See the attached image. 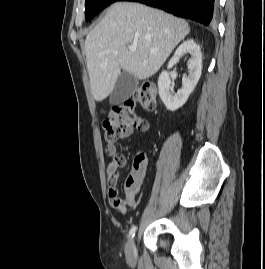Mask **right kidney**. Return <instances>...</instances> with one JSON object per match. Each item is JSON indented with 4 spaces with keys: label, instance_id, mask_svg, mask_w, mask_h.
<instances>
[{
    "label": "right kidney",
    "instance_id": "ca27d5eb",
    "mask_svg": "<svg viewBox=\"0 0 265 269\" xmlns=\"http://www.w3.org/2000/svg\"><path fill=\"white\" fill-rule=\"evenodd\" d=\"M186 53L191 58L188 61V76L182 78V88L174 93L171 89V79L167 71H163L158 78L159 95L170 111H175L182 107L188 100L189 95L196 87L202 73V54L199 45L193 39L184 41L175 51L170 59L167 68H172L179 59Z\"/></svg>",
    "mask_w": 265,
    "mask_h": 269
}]
</instances>
